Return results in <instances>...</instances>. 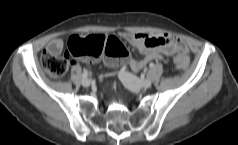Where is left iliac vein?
Instances as JSON below:
<instances>
[{
    "label": "left iliac vein",
    "mask_w": 238,
    "mask_h": 145,
    "mask_svg": "<svg viewBox=\"0 0 238 145\" xmlns=\"http://www.w3.org/2000/svg\"><path fill=\"white\" fill-rule=\"evenodd\" d=\"M119 78L127 88L133 91L147 89L152 85V81L150 79L140 80L136 76L127 72L120 73Z\"/></svg>",
    "instance_id": "4c4485c4"
}]
</instances>
